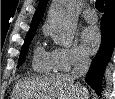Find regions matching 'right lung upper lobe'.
Returning <instances> with one entry per match:
<instances>
[{
    "mask_svg": "<svg viewBox=\"0 0 115 99\" xmlns=\"http://www.w3.org/2000/svg\"><path fill=\"white\" fill-rule=\"evenodd\" d=\"M48 0H40L38 8L33 16L32 22H31V26L30 29L27 33L28 34H35V31L37 29V26L39 24L40 19L42 18L44 11H45V7L47 4ZM115 0H106L105 5H110L111 3H114Z\"/></svg>",
    "mask_w": 115,
    "mask_h": 99,
    "instance_id": "right-lung-upper-lobe-1",
    "label": "right lung upper lobe"
}]
</instances>
